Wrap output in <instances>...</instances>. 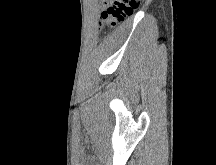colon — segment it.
I'll return each mask as SVG.
<instances>
[{"label": "colon", "mask_w": 216, "mask_h": 165, "mask_svg": "<svg viewBox=\"0 0 216 165\" xmlns=\"http://www.w3.org/2000/svg\"><path fill=\"white\" fill-rule=\"evenodd\" d=\"M109 5L102 11L99 22L114 27L131 16L140 6L141 0H109Z\"/></svg>", "instance_id": "5ec220e1"}]
</instances>
